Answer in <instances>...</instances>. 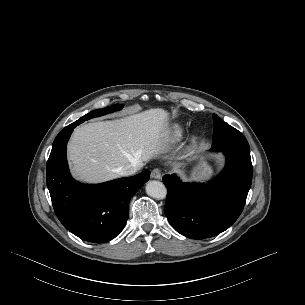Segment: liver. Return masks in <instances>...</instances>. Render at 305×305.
<instances>
[{
	"instance_id": "6515ba94",
	"label": "liver",
	"mask_w": 305,
	"mask_h": 305,
	"mask_svg": "<svg viewBox=\"0 0 305 305\" xmlns=\"http://www.w3.org/2000/svg\"><path fill=\"white\" fill-rule=\"evenodd\" d=\"M168 115L152 108L77 127L67 152L73 175L84 182H102L118 177L117 167L156 157L167 147Z\"/></svg>"
}]
</instances>
